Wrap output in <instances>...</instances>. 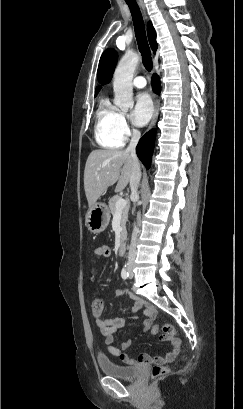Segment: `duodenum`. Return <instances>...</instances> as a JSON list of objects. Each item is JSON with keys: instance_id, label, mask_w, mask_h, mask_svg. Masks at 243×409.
<instances>
[{"instance_id": "410a0bca", "label": "duodenum", "mask_w": 243, "mask_h": 409, "mask_svg": "<svg viewBox=\"0 0 243 409\" xmlns=\"http://www.w3.org/2000/svg\"><path fill=\"white\" fill-rule=\"evenodd\" d=\"M118 253H119V255H121V256L125 255V253H126V244H125L124 242H121V243L119 244Z\"/></svg>"}]
</instances>
